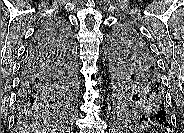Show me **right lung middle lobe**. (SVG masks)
Here are the masks:
<instances>
[{
	"label": "right lung middle lobe",
	"instance_id": "dd1d6c3e",
	"mask_svg": "<svg viewBox=\"0 0 184 133\" xmlns=\"http://www.w3.org/2000/svg\"><path fill=\"white\" fill-rule=\"evenodd\" d=\"M56 20L64 28L67 37H69L70 43L74 48V40L69 25L59 19ZM67 73L62 81V85L59 90L51 99H47L35 105L19 104L17 103V112L20 117L26 118L35 115H46L50 113H56L65 111L73 106L74 103V84L76 78V70L74 65V56L72 52H68L67 57Z\"/></svg>",
	"mask_w": 184,
	"mask_h": 133
}]
</instances>
